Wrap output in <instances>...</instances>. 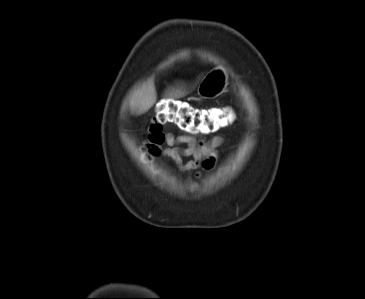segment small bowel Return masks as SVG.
<instances>
[{
	"label": "small bowel",
	"instance_id": "1",
	"mask_svg": "<svg viewBox=\"0 0 365 299\" xmlns=\"http://www.w3.org/2000/svg\"><path fill=\"white\" fill-rule=\"evenodd\" d=\"M165 148L162 154L170 158L182 171H196L201 166L210 168L213 165L215 150L224 143L223 136H215L209 141L197 139L187 134L165 135ZM182 145H185L182 147ZM184 157L192 159L184 162Z\"/></svg>",
	"mask_w": 365,
	"mask_h": 299
}]
</instances>
